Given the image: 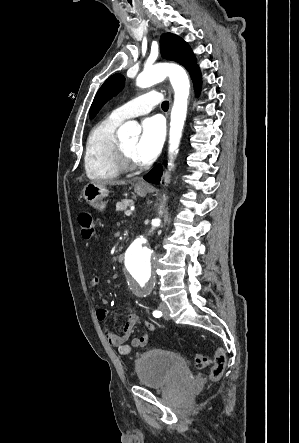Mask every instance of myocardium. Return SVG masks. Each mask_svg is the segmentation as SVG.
I'll use <instances>...</instances> for the list:
<instances>
[{"mask_svg":"<svg viewBox=\"0 0 299 443\" xmlns=\"http://www.w3.org/2000/svg\"><path fill=\"white\" fill-rule=\"evenodd\" d=\"M115 162L120 171H133L141 167L138 162L129 156L120 141H118L115 149Z\"/></svg>","mask_w":299,"mask_h":443,"instance_id":"obj_1","label":"myocardium"}]
</instances>
